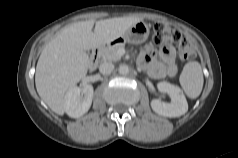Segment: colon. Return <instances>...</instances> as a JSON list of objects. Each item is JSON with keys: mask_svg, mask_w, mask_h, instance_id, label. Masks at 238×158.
<instances>
[{"mask_svg": "<svg viewBox=\"0 0 238 158\" xmlns=\"http://www.w3.org/2000/svg\"><path fill=\"white\" fill-rule=\"evenodd\" d=\"M153 42L159 46L176 44L179 58L183 61H190L196 57L195 49L191 43L182 36L179 30L168 24L162 22L154 24Z\"/></svg>", "mask_w": 238, "mask_h": 158, "instance_id": "5ec220e1", "label": "colon"}]
</instances>
